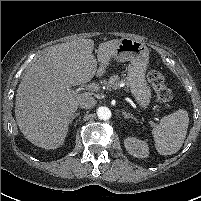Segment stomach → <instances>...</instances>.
Wrapping results in <instances>:
<instances>
[{"instance_id": "1", "label": "stomach", "mask_w": 201, "mask_h": 201, "mask_svg": "<svg viewBox=\"0 0 201 201\" xmlns=\"http://www.w3.org/2000/svg\"><path fill=\"white\" fill-rule=\"evenodd\" d=\"M112 58L118 62H130L126 78L128 86L140 106L147 107L151 90L145 80V70L149 61V50L146 45L129 38L121 39Z\"/></svg>"}]
</instances>
